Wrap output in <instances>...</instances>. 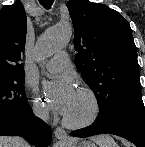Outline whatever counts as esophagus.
<instances>
[{"label": "esophagus", "instance_id": "34e87169", "mask_svg": "<svg viewBox=\"0 0 145 147\" xmlns=\"http://www.w3.org/2000/svg\"><path fill=\"white\" fill-rule=\"evenodd\" d=\"M54 135L61 142H67V141L70 140L66 131L64 129L60 128V127H57L54 130Z\"/></svg>", "mask_w": 145, "mask_h": 147}]
</instances>
